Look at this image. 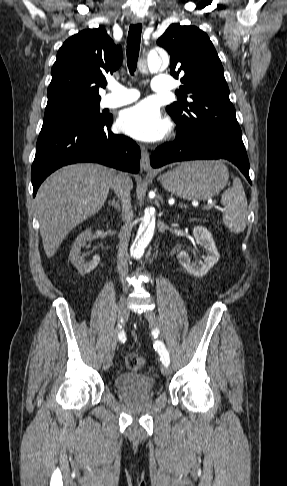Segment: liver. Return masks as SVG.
I'll return each mask as SVG.
<instances>
[{
	"mask_svg": "<svg viewBox=\"0 0 287 486\" xmlns=\"http://www.w3.org/2000/svg\"><path fill=\"white\" fill-rule=\"evenodd\" d=\"M115 175L113 169L105 166L81 163L59 169L42 183L35 204L48 258L73 228L102 208ZM121 175L131 190L132 179Z\"/></svg>",
	"mask_w": 287,
	"mask_h": 486,
	"instance_id": "obj_1",
	"label": "liver"
}]
</instances>
